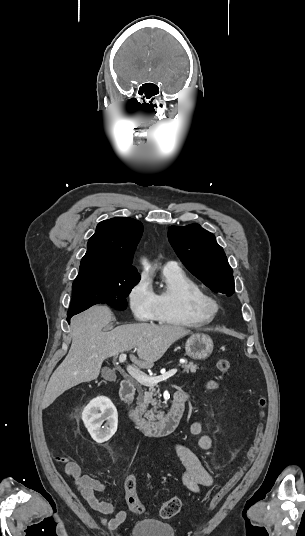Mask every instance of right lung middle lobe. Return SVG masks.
<instances>
[{
  "mask_svg": "<svg viewBox=\"0 0 305 536\" xmlns=\"http://www.w3.org/2000/svg\"><path fill=\"white\" fill-rule=\"evenodd\" d=\"M140 276L76 277L68 313H80L95 304H107L118 310L127 307L126 297L139 282Z\"/></svg>",
  "mask_w": 305,
  "mask_h": 536,
  "instance_id": "right-lung-middle-lobe-1",
  "label": "right lung middle lobe"
}]
</instances>
